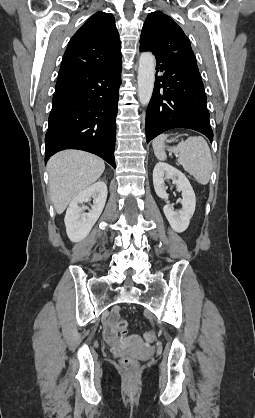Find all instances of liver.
<instances>
[{
    "label": "liver",
    "mask_w": 255,
    "mask_h": 418,
    "mask_svg": "<svg viewBox=\"0 0 255 418\" xmlns=\"http://www.w3.org/2000/svg\"><path fill=\"white\" fill-rule=\"evenodd\" d=\"M47 170L51 200L55 211L61 214L81 191L99 179L105 164L96 155L66 150L50 158Z\"/></svg>",
    "instance_id": "obj_1"
}]
</instances>
